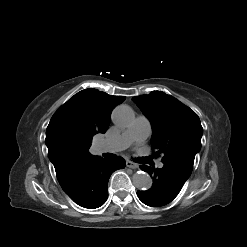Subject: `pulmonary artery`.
Returning <instances> with one entry per match:
<instances>
[{
	"label": "pulmonary artery",
	"mask_w": 247,
	"mask_h": 247,
	"mask_svg": "<svg viewBox=\"0 0 247 247\" xmlns=\"http://www.w3.org/2000/svg\"><path fill=\"white\" fill-rule=\"evenodd\" d=\"M151 133V123L143 115L138 116L133 124L119 137L104 141L100 149L104 152H118L128 148L133 143L144 142ZM158 168H163V163H157Z\"/></svg>",
	"instance_id": "1"
}]
</instances>
